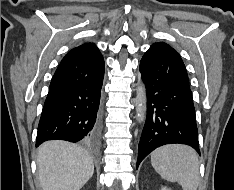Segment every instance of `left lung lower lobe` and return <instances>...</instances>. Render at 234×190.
I'll return each instance as SVG.
<instances>
[{
  "mask_svg": "<svg viewBox=\"0 0 234 190\" xmlns=\"http://www.w3.org/2000/svg\"><path fill=\"white\" fill-rule=\"evenodd\" d=\"M146 87L147 118L138 146L136 169L154 149L180 143L199 154L192 92L178 52L164 42L154 43L140 61Z\"/></svg>",
  "mask_w": 234,
  "mask_h": 190,
  "instance_id": "left-lung-lower-lobe-1",
  "label": "left lung lower lobe"
}]
</instances>
